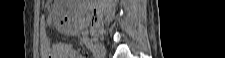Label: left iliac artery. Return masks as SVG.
<instances>
[{
	"instance_id": "obj_1",
	"label": "left iliac artery",
	"mask_w": 225,
	"mask_h": 58,
	"mask_svg": "<svg viewBox=\"0 0 225 58\" xmlns=\"http://www.w3.org/2000/svg\"><path fill=\"white\" fill-rule=\"evenodd\" d=\"M83 42L85 43V45H86L89 49H91V50L93 49V45H92L90 39H89L87 36H85V37L83 38Z\"/></svg>"
}]
</instances>
